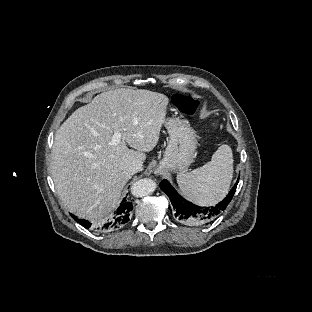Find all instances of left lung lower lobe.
Here are the masks:
<instances>
[{
    "mask_svg": "<svg viewBox=\"0 0 312 312\" xmlns=\"http://www.w3.org/2000/svg\"><path fill=\"white\" fill-rule=\"evenodd\" d=\"M239 178L235 186L230 190L226 198L215 207L202 208L181 197L174 188L169 184L167 180L161 181L160 188L169 197L172 205L173 212L177 221L187 224L191 227H200L212 222L218 217V215L224 211L233 198L236 191Z\"/></svg>",
    "mask_w": 312,
    "mask_h": 312,
    "instance_id": "1",
    "label": "left lung lower lobe"
}]
</instances>
